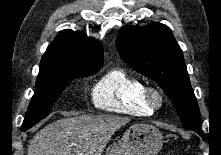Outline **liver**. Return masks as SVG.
I'll return each mask as SVG.
<instances>
[{
	"label": "liver",
	"instance_id": "6515ba94",
	"mask_svg": "<svg viewBox=\"0 0 221 155\" xmlns=\"http://www.w3.org/2000/svg\"><path fill=\"white\" fill-rule=\"evenodd\" d=\"M129 121L112 115L62 118L35 134L27 155H101L111 136Z\"/></svg>",
	"mask_w": 221,
	"mask_h": 155
}]
</instances>
